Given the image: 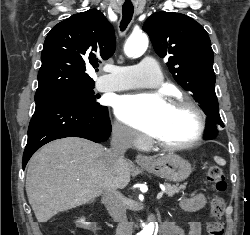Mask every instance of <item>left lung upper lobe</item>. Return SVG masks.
I'll return each mask as SVG.
<instances>
[{"label": "left lung upper lobe", "instance_id": "obj_1", "mask_svg": "<svg viewBox=\"0 0 250 235\" xmlns=\"http://www.w3.org/2000/svg\"><path fill=\"white\" fill-rule=\"evenodd\" d=\"M156 53L168 59L167 66L176 82L191 92L200 107L219 126L214 54L206 30L194 19L175 12H156L144 23Z\"/></svg>", "mask_w": 250, "mask_h": 235}]
</instances>
